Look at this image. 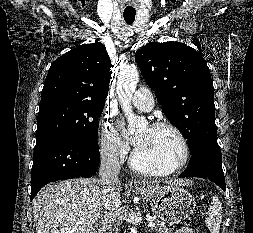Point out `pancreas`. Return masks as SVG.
Listing matches in <instances>:
<instances>
[{"instance_id": "cf45deb5", "label": "pancreas", "mask_w": 253, "mask_h": 233, "mask_svg": "<svg viewBox=\"0 0 253 233\" xmlns=\"http://www.w3.org/2000/svg\"><path fill=\"white\" fill-rule=\"evenodd\" d=\"M174 228V226L172 227L171 225H163L160 224L158 221H155V227H154V232L155 233H172V229Z\"/></svg>"}]
</instances>
